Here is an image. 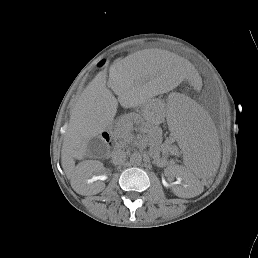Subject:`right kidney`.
<instances>
[{"label": "right kidney", "instance_id": "obj_1", "mask_svg": "<svg viewBox=\"0 0 258 258\" xmlns=\"http://www.w3.org/2000/svg\"><path fill=\"white\" fill-rule=\"evenodd\" d=\"M93 164H94V165H99V163H98V162H96V161H93ZM87 165H88V164H87ZM99 166H100V165H99ZM86 167L88 168V166H86ZM99 168H100V167H99ZM101 169H103V167H102V168H100V170H101ZM100 170H95V171H93V172H99ZM93 172H92V173H93ZM95 178H97V179H99V178L104 179L105 177H104V176H99V177H95ZM97 179H96V180H97ZM89 182H91V183H92V182H93V179L88 180V183H89ZM103 187H104V183H102V185H101L100 189L93 190V191H92V194H96V193L100 192V191H101V189H103Z\"/></svg>", "mask_w": 258, "mask_h": 258}]
</instances>
